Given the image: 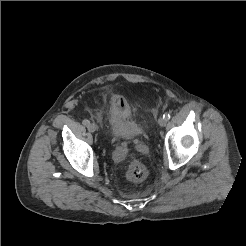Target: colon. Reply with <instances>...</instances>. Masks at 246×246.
<instances>
[{"instance_id":"5ec220e1","label":"colon","mask_w":246,"mask_h":246,"mask_svg":"<svg viewBox=\"0 0 246 246\" xmlns=\"http://www.w3.org/2000/svg\"><path fill=\"white\" fill-rule=\"evenodd\" d=\"M126 176L132 182H141L147 177V169L143 163L134 160L130 163Z\"/></svg>"}]
</instances>
